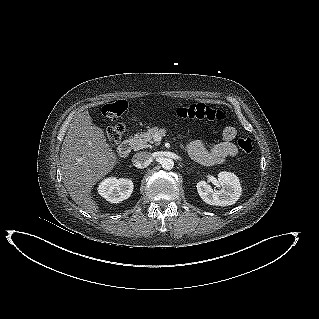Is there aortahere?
<instances>
[{
	"instance_id": "obj_1",
	"label": "aorta",
	"mask_w": 319,
	"mask_h": 319,
	"mask_svg": "<svg viewBox=\"0 0 319 319\" xmlns=\"http://www.w3.org/2000/svg\"><path fill=\"white\" fill-rule=\"evenodd\" d=\"M162 168L165 170H171L174 167V161L171 158H163L161 161Z\"/></svg>"
}]
</instances>
